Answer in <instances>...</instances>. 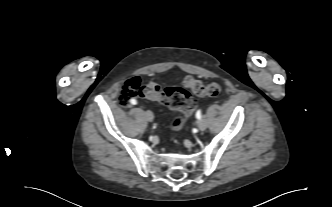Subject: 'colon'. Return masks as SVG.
Wrapping results in <instances>:
<instances>
[{
    "mask_svg": "<svg viewBox=\"0 0 332 207\" xmlns=\"http://www.w3.org/2000/svg\"><path fill=\"white\" fill-rule=\"evenodd\" d=\"M221 92L218 83L203 84L193 77H186L183 80V87H168L161 89L156 83L141 84L139 78L134 77L126 81L120 91V103L128 106L130 100L136 97H143L156 101L168 108L181 113L172 121V129L180 130L187 119L192 115L196 103L192 96H217Z\"/></svg>",
    "mask_w": 332,
    "mask_h": 207,
    "instance_id": "1",
    "label": "colon"
}]
</instances>
